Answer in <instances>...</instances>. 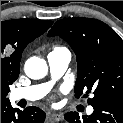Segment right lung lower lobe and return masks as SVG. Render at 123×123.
<instances>
[{
    "mask_svg": "<svg viewBox=\"0 0 123 123\" xmlns=\"http://www.w3.org/2000/svg\"><path fill=\"white\" fill-rule=\"evenodd\" d=\"M45 113L37 107L14 109L8 98H1V123H43Z\"/></svg>",
    "mask_w": 123,
    "mask_h": 123,
    "instance_id": "right-lung-lower-lobe-1",
    "label": "right lung lower lobe"
}]
</instances>
